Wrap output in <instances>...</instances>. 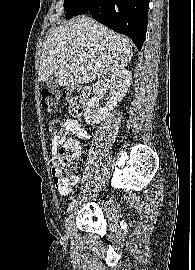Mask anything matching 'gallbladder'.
I'll list each match as a JSON object with an SVG mask.
<instances>
[{
	"instance_id": "gallbladder-1",
	"label": "gallbladder",
	"mask_w": 195,
	"mask_h": 270,
	"mask_svg": "<svg viewBox=\"0 0 195 270\" xmlns=\"http://www.w3.org/2000/svg\"><path fill=\"white\" fill-rule=\"evenodd\" d=\"M46 86L50 89V90H55L58 88V84L56 83L55 80V75H52L48 80L45 81Z\"/></svg>"
}]
</instances>
